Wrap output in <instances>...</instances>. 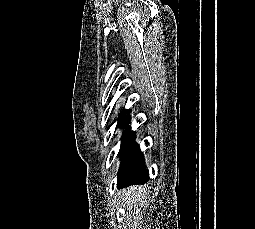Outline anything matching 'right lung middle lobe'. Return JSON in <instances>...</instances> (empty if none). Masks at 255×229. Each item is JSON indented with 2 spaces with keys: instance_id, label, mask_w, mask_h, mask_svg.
<instances>
[{
  "instance_id": "dd1d6c3e",
  "label": "right lung middle lobe",
  "mask_w": 255,
  "mask_h": 229,
  "mask_svg": "<svg viewBox=\"0 0 255 229\" xmlns=\"http://www.w3.org/2000/svg\"><path fill=\"white\" fill-rule=\"evenodd\" d=\"M129 123L128 117H121L118 121V126L127 127ZM134 132L127 130L122 138L119 155L121 157V166L119 173H126L132 164H141L144 167L142 152L137 143L134 142ZM118 173V174H119Z\"/></svg>"
}]
</instances>
